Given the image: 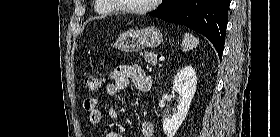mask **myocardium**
Masks as SVG:
<instances>
[{"instance_id":"1","label":"myocardium","mask_w":280,"mask_h":137,"mask_svg":"<svg viewBox=\"0 0 280 137\" xmlns=\"http://www.w3.org/2000/svg\"><path fill=\"white\" fill-rule=\"evenodd\" d=\"M158 2H160V0H150V3L146 6L119 8L118 10L121 11L122 13L129 14V15L143 14L154 9L158 4ZM113 7H117V6L113 5Z\"/></svg>"}]
</instances>
